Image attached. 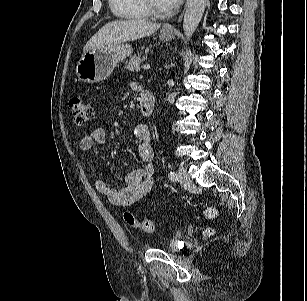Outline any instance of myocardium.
Segmentation results:
<instances>
[{
  "mask_svg": "<svg viewBox=\"0 0 307 301\" xmlns=\"http://www.w3.org/2000/svg\"><path fill=\"white\" fill-rule=\"evenodd\" d=\"M141 2L148 15H151L153 17H162L167 14V12L165 11H159L155 9L150 3V0H141Z\"/></svg>",
  "mask_w": 307,
  "mask_h": 301,
  "instance_id": "1",
  "label": "myocardium"
}]
</instances>
